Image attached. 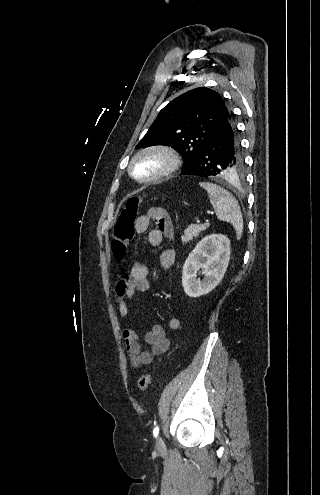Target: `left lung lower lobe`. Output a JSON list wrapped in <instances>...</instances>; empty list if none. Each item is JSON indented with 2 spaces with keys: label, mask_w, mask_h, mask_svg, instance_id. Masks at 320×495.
Returning a JSON list of instances; mask_svg holds the SVG:
<instances>
[{
  "label": "left lung lower lobe",
  "mask_w": 320,
  "mask_h": 495,
  "mask_svg": "<svg viewBox=\"0 0 320 495\" xmlns=\"http://www.w3.org/2000/svg\"><path fill=\"white\" fill-rule=\"evenodd\" d=\"M241 149L231 115L201 148L194 162L182 174L201 177L219 176L226 168H233L241 158Z\"/></svg>",
  "instance_id": "left-lung-lower-lobe-1"
}]
</instances>
